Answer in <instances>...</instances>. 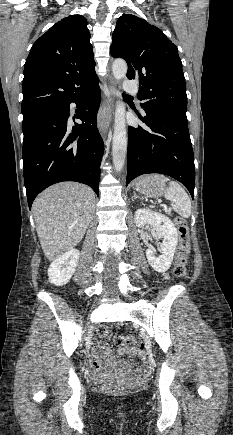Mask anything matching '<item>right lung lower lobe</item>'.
I'll return each mask as SVG.
<instances>
[{"label":"right lung lower lobe","instance_id":"obj_1","mask_svg":"<svg viewBox=\"0 0 233 435\" xmlns=\"http://www.w3.org/2000/svg\"><path fill=\"white\" fill-rule=\"evenodd\" d=\"M100 97L96 75L63 104L23 121V172L30 209L40 192L62 181L86 184L98 195L104 153L97 129ZM72 102L80 108L77 117L83 123L70 128L67 120Z\"/></svg>","mask_w":233,"mask_h":435}]
</instances>
